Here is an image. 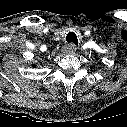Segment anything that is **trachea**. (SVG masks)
I'll list each match as a JSON object with an SVG mask.
<instances>
[{"instance_id": "3493384b", "label": "trachea", "mask_w": 127, "mask_h": 127, "mask_svg": "<svg viewBox=\"0 0 127 127\" xmlns=\"http://www.w3.org/2000/svg\"><path fill=\"white\" fill-rule=\"evenodd\" d=\"M66 40L68 43L78 45L77 35L74 32H69L66 36Z\"/></svg>"}]
</instances>
